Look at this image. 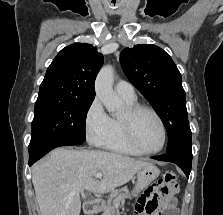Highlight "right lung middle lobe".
Instances as JSON below:
<instances>
[{
	"label": "right lung middle lobe",
	"mask_w": 223,
	"mask_h": 215,
	"mask_svg": "<svg viewBox=\"0 0 223 215\" xmlns=\"http://www.w3.org/2000/svg\"><path fill=\"white\" fill-rule=\"evenodd\" d=\"M92 101L38 97L29 151L49 144L85 141L86 115Z\"/></svg>",
	"instance_id": "right-lung-middle-lobe-1"
}]
</instances>
